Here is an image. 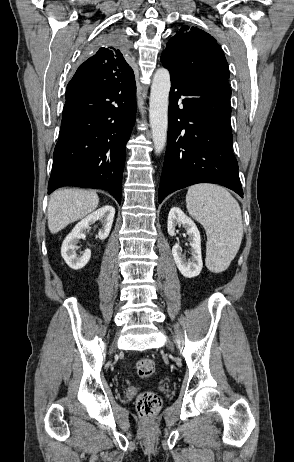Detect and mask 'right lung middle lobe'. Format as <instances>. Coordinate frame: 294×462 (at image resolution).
<instances>
[{"instance_id": "1", "label": "right lung middle lobe", "mask_w": 294, "mask_h": 462, "mask_svg": "<svg viewBox=\"0 0 294 462\" xmlns=\"http://www.w3.org/2000/svg\"><path fill=\"white\" fill-rule=\"evenodd\" d=\"M124 38L120 31L114 29L101 34L93 43L92 49L97 51L101 46H122Z\"/></svg>"}]
</instances>
